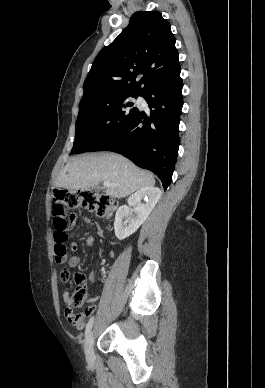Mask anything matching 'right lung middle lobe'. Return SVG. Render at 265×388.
I'll list each match as a JSON object with an SVG mask.
<instances>
[{"label": "right lung middle lobe", "instance_id": "1", "mask_svg": "<svg viewBox=\"0 0 265 388\" xmlns=\"http://www.w3.org/2000/svg\"><path fill=\"white\" fill-rule=\"evenodd\" d=\"M138 95L104 90L82 98L71 154L101 150L135 113L137 108L127 98H136Z\"/></svg>", "mask_w": 265, "mask_h": 388}]
</instances>
